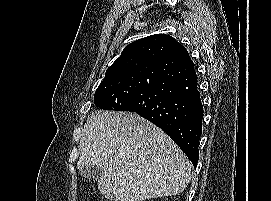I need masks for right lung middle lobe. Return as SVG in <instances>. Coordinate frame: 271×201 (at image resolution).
<instances>
[{
    "label": "right lung middle lobe",
    "instance_id": "dd1d6c3e",
    "mask_svg": "<svg viewBox=\"0 0 271 201\" xmlns=\"http://www.w3.org/2000/svg\"><path fill=\"white\" fill-rule=\"evenodd\" d=\"M150 69H138L105 77L95 92V105L104 110H120L121 101L144 92L151 81Z\"/></svg>",
    "mask_w": 271,
    "mask_h": 201
}]
</instances>
